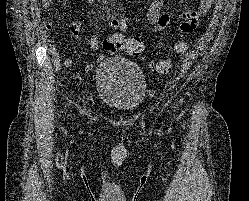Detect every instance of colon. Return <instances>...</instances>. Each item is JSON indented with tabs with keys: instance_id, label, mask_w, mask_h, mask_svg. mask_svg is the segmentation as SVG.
<instances>
[{
	"instance_id": "obj_1",
	"label": "colon",
	"mask_w": 249,
	"mask_h": 201,
	"mask_svg": "<svg viewBox=\"0 0 249 201\" xmlns=\"http://www.w3.org/2000/svg\"><path fill=\"white\" fill-rule=\"evenodd\" d=\"M104 50L108 53H115L117 50H123L128 55L141 58L144 52V45L141 40L137 38L121 37L117 34H112L102 42ZM187 49V44L184 41H178L173 45V53L175 55H182ZM153 71L157 74L163 75L170 72L172 69V62L170 60H160L152 63Z\"/></svg>"
}]
</instances>
